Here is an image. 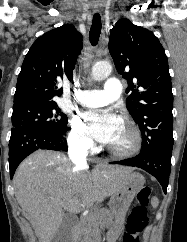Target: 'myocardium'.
I'll list each match as a JSON object with an SVG mask.
<instances>
[{
	"label": "myocardium",
	"mask_w": 187,
	"mask_h": 242,
	"mask_svg": "<svg viewBox=\"0 0 187 242\" xmlns=\"http://www.w3.org/2000/svg\"><path fill=\"white\" fill-rule=\"evenodd\" d=\"M121 121L130 129L133 136V143L129 148L123 149V150L115 149V148H112L111 146H108L107 149H108V152L114 156L130 157L137 154L142 148V144H143L142 132L139 126L137 125V123L130 117L123 116L121 117Z\"/></svg>",
	"instance_id": "obj_1"
}]
</instances>
